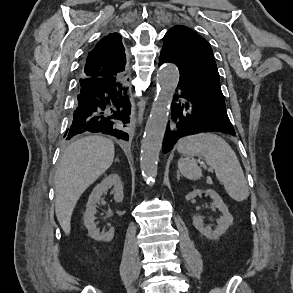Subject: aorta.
Wrapping results in <instances>:
<instances>
[{
  "label": "aorta",
  "mask_w": 293,
  "mask_h": 293,
  "mask_svg": "<svg viewBox=\"0 0 293 293\" xmlns=\"http://www.w3.org/2000/svg\"><path fill=\"white\" fill-rule=\"evenodd\" d=\"M179 82V72L175 65H164L157 74V95L147 120L141 141L140 168L147 182L157 176V164L166 130L170 105Z\"/></svg>",
  "instance_id": "obj_1"
}]
</instances>
